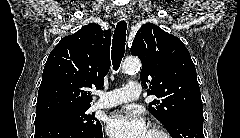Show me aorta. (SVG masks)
<instances>
[{
  "mask_svg": "<svg viewBox=\"0 0 240 138\" xmlns=\"http://www.w3.org/2000/svg\"><path fill=\"white\" fill-rule=\"evenodd\" d=\"M141 66L140 60L137 58H126L122 64V71L124 73H130L139 70Z\"/></svg>",
  "mask_w": 240,
  "mask_h": 138,
  "instance_id": "obj_1",
  "label": "aorta"
}]
</instances>
